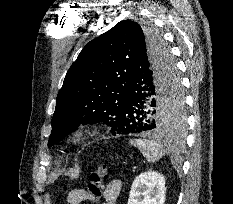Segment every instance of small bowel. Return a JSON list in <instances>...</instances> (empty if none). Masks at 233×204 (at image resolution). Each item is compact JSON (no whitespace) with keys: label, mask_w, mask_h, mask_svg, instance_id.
<instances>
[{"label":"small bowel","mask_w":233,"mask_h":204,"mask_svg":"<svg viewBox=\"0 0 233 204\" xmlns=\"http://www.w3.org/2000/svg\"><path fill=\"white\" fill-rule=\"evenodd\" d=\"M121 186L122 184L120 180H111L104 189V203L102 204H117V200L121 192ZM84 202L95 203L96 201L86 198Z\"/></svg>","instance_id":"small-bowel-1"}]
</instances>
